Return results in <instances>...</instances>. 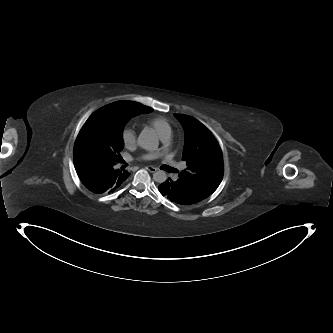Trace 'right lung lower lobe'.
<instances>
[{"label":"right lung lower lobe","instance_id":"obj_1","mask_svg":"<svg viewBox=\"0 0 333 333\" xmlns=\"http://www.w3.org/2000/svg\"><path fill=\"white\" fill-rule=\"evenodd\" d=\"M74 165L81 182L95 194L115 192L130 175L127 171L115 169L114 165L97 167L76 162Z\"/></svg>","mask_w":333,"mask_h":333}]
</instances>
